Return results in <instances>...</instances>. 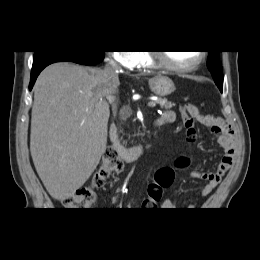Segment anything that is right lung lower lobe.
I'll list each match as a JSON object with an SVG mask.
<instances>
[{
  "mask_svg": "<svg viewBox=\"0 0 260 260\" xmlns=\"http://www.w3.org/2000/svg\"><path fill=\"white\" fill-rule=\"evenodd\" d=\"M104 57L103 51H60L42 53L40 56L33 59L29 88L31 89L33 87L39 73L49 64L60 61H70L92 66L101 62Z\"/></svg>",
  "mask_w": 260,
  "mask_h": 260,
  "instance_id": "1",
  "label": "right lung lower lobe"
}]
</instances>
